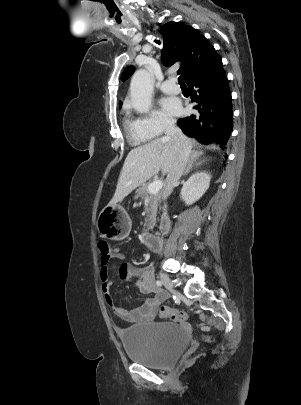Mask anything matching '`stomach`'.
Segmentation results:
<instances>
[{"instance_id": "stomach-1", "label": "stomach", "mask_w": 301, "mask_h": 405, "mask_svg": "<svg viewBox=\"0 0 301 405\" xmlns=\"http://www.w3.org/2000/svg\"><path fill=\"white\" fill-rule=\"evenodd\" d=\"M97 229L103 237L120 241L128 237L131 231V219L120 205H108L98 216Z\"/></svg>"}]
</instances>
